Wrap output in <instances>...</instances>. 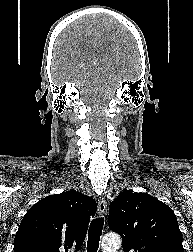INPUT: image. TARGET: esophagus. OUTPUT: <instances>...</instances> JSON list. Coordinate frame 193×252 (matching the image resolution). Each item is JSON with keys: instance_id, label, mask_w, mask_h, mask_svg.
Segmentation results:
<instances>
[{"instance_id": "34e87169", "label": "esophagus", "mask_w": 193, "mask_h": 252, "mask_svg": "<svg viewBox=\"0 0 193 252\" xmlns=\"http://www.w3.org/2000/svg\"><path fill=\"white\" fill-rule=\"evenodd\" d=\"M98 213L100 217H105L107 214V202L103 196L98 199Z\"/></svg>"}]
</instances>
